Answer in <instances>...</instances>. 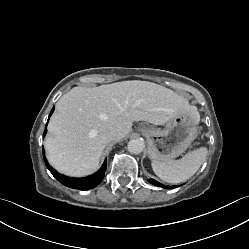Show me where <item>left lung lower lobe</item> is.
<instances>
[{
  "instance_id": "obj_1",
  "label": "left lung lower lobe",
  "mask_w": 249,
  "mask_h": 249,
  "mask_svg": "<svg viewBox=\"0 0 249 249\" xmlns=\"http://www.w3.org/2000/svg\"><path fill=\"white\" fill-rule=\"evenodd\" d=\"M149 182H151L155 186H159V187H163V188H174L175 187V186H164L153 179H150Z\"/></svg>"
}]
</instances>
